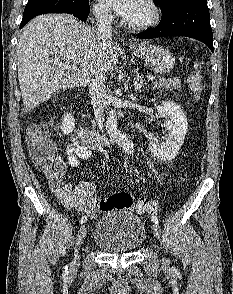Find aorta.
Returning <instances> with one entry per match:
<instances>
[{
	"label": "aorta",
	"mask_w": 233,
	"mask_h": 294,
	"mask_svg": "<svg viewBox=\"0 0 233 294\" xmlns=\"http://www.w3.org/2000/svg\"><path fill=\"white\" fill-rule=\"evenodd\" d=\"M106 129L109 136L129 155L134 153V145L132 141L127 138L118 128V122L116 118V111L111 109L109 112Z\"/></svg>",
	"instance_id": "1"
}]
</instances>
